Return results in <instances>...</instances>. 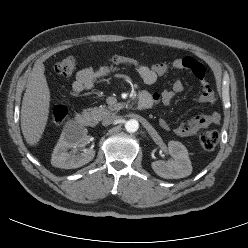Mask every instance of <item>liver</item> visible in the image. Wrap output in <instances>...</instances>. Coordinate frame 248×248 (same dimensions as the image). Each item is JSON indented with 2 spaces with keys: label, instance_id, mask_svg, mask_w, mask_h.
Instances as JSON below:
<instances>
[{
  "label": "liver",
  "instance_id": "liver-1",
  "mask_svg": "<svg viewBox=\"0 0 248 248\" xmlns=\"http://www.w3.org/2000/svg\"><path fill=\"white\" fill-rule=\"evenodd\" d=\"M44 71V65H40L31 76L22 101L21 130L31 146L40 141L49 115L50 90Z\"/></svg>",
  "mask_w": 248,
  "mask_h": 248
}]
</instances>
